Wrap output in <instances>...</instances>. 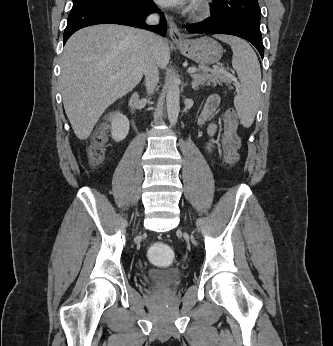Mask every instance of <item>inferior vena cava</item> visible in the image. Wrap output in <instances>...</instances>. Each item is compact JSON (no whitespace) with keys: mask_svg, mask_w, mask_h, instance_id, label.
Returning <instances> with one entry per match:
<instances>
[{"mask_svg":"<svg viewBox=\"0 0 333 346\" xmlns=\"http://www.w3.org/2000/svg\"><path fill=\"white\" fill-rule=\"evenodd\" d=\"M146 23L150 25H156L159 23V17L155 14L149 15L146 19ZM148 38L149 49L146 54L145 64H144V74H145V85L148 94L154 92L157 83L159 82L158 66L154 56L155 49V36L149 32H145Z\"/></svg>","mask_w":333,"mask_h":346,"instance_id":"obj_1","label":"inferior vena cava"}]
</instances>
